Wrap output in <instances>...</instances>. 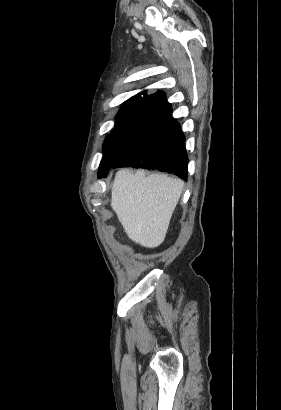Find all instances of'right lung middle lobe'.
Returning <instances> with one entry per match:
<instances>
[{"label":"right lung middle lobe","mask_w":281,"mask_h":410,"mask_svg":"<svg viewBox=\"0 0 281 410\" xmlns=\"http://www.w3.org/2000/svg\"><path fill=\"white\" fill-rule=\"evenodd\" d=\"M169 113L168 110L149 106H122L114 130L104 141L103 158L98 175L110 170L133 145L165 119Z\"/></svg>","instance_id":"1"}]
</instances>
